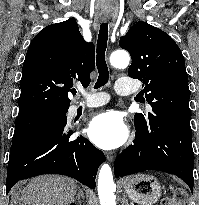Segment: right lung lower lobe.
Masks as SVG:
<instances>
[{"label":"right lung lower lobe","instance_id":"98d812e1","mask_svg":"<svg viewBox=\"0 0 199 205\" xmlns=\"http://www.w3.org/2000/svg\"><path fill=\"white\" fill-rule=\"evenodd\" d=\"M66 124L40 129L12 142L7 169V193L22 179L42 174H61L72 177L94 189L99 165L104 153L80 136L73 134Z\"/></svg>","mask_w":199,"mask_h":205}]
</instances>
